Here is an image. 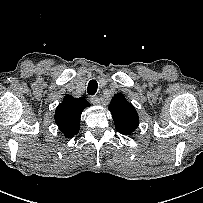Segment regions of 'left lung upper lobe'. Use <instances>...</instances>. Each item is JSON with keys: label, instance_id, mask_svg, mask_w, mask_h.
I'll use <instances>...</instances> for the list:
<instances>
[{"label": "left lung upper lobe", "instance_id": "obj_1", "mask_svg": "<svg viewBox=\"0 0 203 203\" xmlns=\"http://www.w3.org/2000/svg\"><path fill=\"white\" fill-rule=\"evenodd\" d=\"M108 108L119 133L129 135L137 129L139 116L134 106L126 100L123 94H115Z\"/></svg>", "mask_w": 203, "mask_h": 203}]
</instances>
